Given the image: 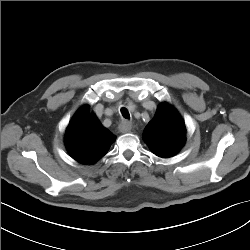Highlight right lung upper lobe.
<instances>
[{
  "instance_id": "obj_1",
  "label": "right lung upper lobe",
  "mask_w": 250,
  "mask_h": 250,
  "mask_svg": "<svg viewBox=\"0 0 250 250\" xmlns=\"http://www.w3.org/2000/svg\"><path fill=\"white\" fill-rule=\"evenodd\" d=\"M116 137L84 105L72 118L66 131L65 144L78 162L92 164L104 156Z\"/></svg>"
}]
</instances>
